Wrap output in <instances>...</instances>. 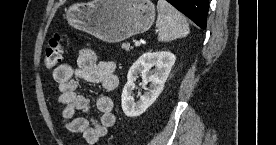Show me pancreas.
<instances>
[{
    "label": "pancreas",
    "instance_id": "1",
    "mask_svg": "<svg viewBox=\"0 0 276 145\" xmlns=\"http://www.w3.org/2000/svg\"><path fill=\"white\" fill-rule=\"evenodd\" d=\"M122 48H123L124 50H126V51H129V49H130V44H129V43H123V44H122Z\"/></svg>",
    "mask_w": 276,
    "mask_h": 145
}]
</instances>
